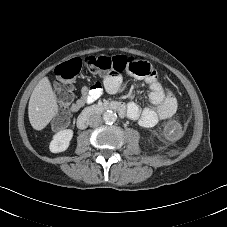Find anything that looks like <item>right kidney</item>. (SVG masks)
<instances>
[{"label":"right kidney","mask_w":227,"mask_h":227,"mask_svg":"<svg viewBox=\"0 0 227 227\" xmlns=\"http://www.w3.org/2000/svg\"><path fill=\"white\" fill-rule=\"evenodd\" d=\"M72 137L73 131L71 129L59 131L53 136V140L50 142V151L52 153L64 152L69 147Z\"/></svg>","instance_id":"1"}]
</instances>
